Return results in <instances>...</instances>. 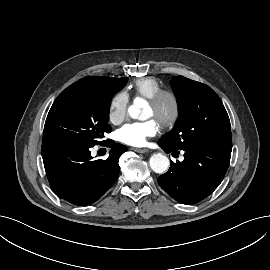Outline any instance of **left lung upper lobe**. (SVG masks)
I'll return each instance as SVG.
<instances>
[{"mask_svg": "<svg viewBox=\"0 0 270 270\" xmlns=\"http://www.w3.org/2000/svg\"><path fill=\"white\" fill-rule=\"evenodd\" d=\"M171 86L179 118L175 128L159 142L176 150L196 143L232 145L230 120L214 90L184 76L173 77Z\"/></svg>", "mask_w": 270, "mask_h": 270, "instance_id": "5c2ea615", "label": "left lung upper lobe"}]
</instances>
